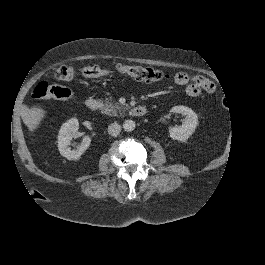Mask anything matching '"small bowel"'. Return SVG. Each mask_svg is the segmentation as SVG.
<instances>
[{
	"mask_svg": "<svg viewBox=\"0 0 265 265\" xmlns=\"http://www.w3.org/2000/svg\"><path fill=\"white\" fill-rule=\"evenodd\" d=\"M174 81L178 85L186 86V93L190 97H198L203 91L212 93L215 85L209 79L199 75H189L185 72H178L174 76Z\"/></svg>",
	"mask_w": 265,
	"mask_h": 265,
	"instance_id": "obj_1",
	"label": "small bowel"
}]
</instances>
